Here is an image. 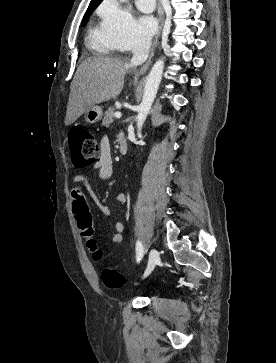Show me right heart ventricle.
Wrapping results in <instances>:
<instances>
[{"label":"right heart ventricle","instance_id":"right-heart-ventricle-1","mask_svg":"<svg viewBox=\"0 0 276 363\" xmlns=\"http://www.w3.org/2000/svg\"><path fill=\"white\" fill-rule=\"evenodd\" d=\"M87 42L89 48L100 55H109L118 50V46L108 37L102 26L90 28Z\"/></svg>","mask_w":276,"mask_h":363}]
</instances>
